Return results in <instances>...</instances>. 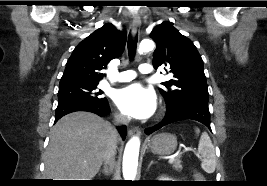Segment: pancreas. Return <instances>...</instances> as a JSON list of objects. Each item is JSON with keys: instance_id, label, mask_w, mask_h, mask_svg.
Here are the masks:
<instances>
[{"instance_id": "pancreas-1", "label": "pancreas", "mask_w": 267, "mask_h": 186, "mask_svg": "<svg viewBox=\"0 0 267 186\" xmlns=\"http://www.w3.org/2000/svg\"><path fill=\"white\" fill-rule=\"evenodd\" d=\"M172 166L177 171H180L183 168L181 164V160L178 157L173 161Z\"/></svg>"}]
</instances>
